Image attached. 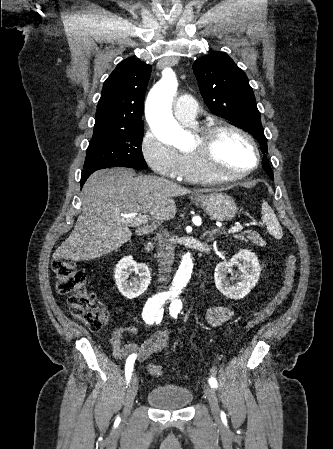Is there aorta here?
I'll list each match as a JSON object with an SVG mask.
<instances>
[{
    "instance_id": "762f6f07",
    "label": "aorta",
    "mask_w": 333,
    "mask_h": 449,
    "mask_svg": "<svg viewBox=\"0 0 333 449\" xmlns=\"http://www.w3.org/2000/svg\"><path fill=\"white\" fill-rule=\"evenodd\" d=\"M178 83L171 68H165L162 79L152 88L146 101V120L161 141L182 149L189 146V134L175 121L172 115V102ZM193 260L185 253L172 282V293L179 295L190 280Z\"/></svg>"
}]
</instances>
